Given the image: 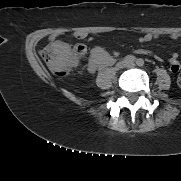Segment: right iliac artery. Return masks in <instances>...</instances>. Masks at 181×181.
Instances as JSON below:
<instances>
[{"label":"right iliac artery","mask_w":181,"mask_h":181,"mask_svg":"<svg viewBox=\"0 0 181 181\" xmlns=\"http://www.w3.org/2000/svg\"><path fill=\"white\" fill-rule=\"evenodd\" d=\"M136 60L135 56L133 55H127L125 58H124V61L126 63H133L134 61Z\"/></svg>","instance_id":"1"}]
</instances>
